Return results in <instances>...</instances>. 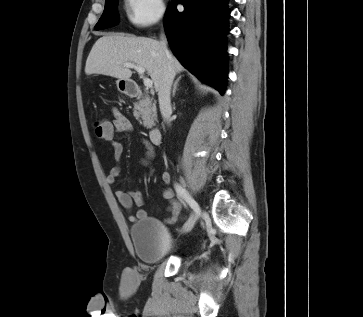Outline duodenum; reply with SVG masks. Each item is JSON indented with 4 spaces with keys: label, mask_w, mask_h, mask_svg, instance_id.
Here are the masks:
<instances>
[{
    "label": "duodenum",
    "mask_w": 363,
    "mask_h": 317,
    "mask_svg": "<svg viewBox=\"0 0 363 317\" xmlns=\"http://www.w3.org/2000/svg\"><path fill=\"white\" fill-rule=\"evenodd\" d=\"M126 92L130 97H139L142 94L140 86L136 83H128ZM149 136L154 145H160L162 143V132L158 127L151 128Z\"/></svg>",
    "instance_id": "duodenum-1"
}]
</instances>
